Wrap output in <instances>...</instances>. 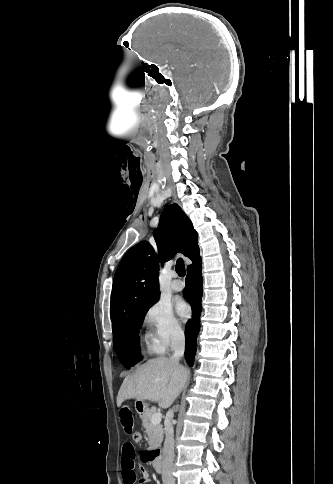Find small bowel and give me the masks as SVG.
Segmentation results:
<instances>
[{"label":"small bowel","instance_id":"obj_1","mask_svg":"<svg viewBox=\"0 0 333 484\" xmlns=\"http://www.w3.org/2000/svg\"><path fill=\"white\" fill-rule=\"evenodd\" d=\"M119 422L123 431L127 435L133 434L135 422L132 410L127 405H123L119 410ZM121 470L124 484H146L150 482L148 471L144 466H139L141 478L137 480L135 472V450L131 442H125L122 448Z\"/></svg>","mask_w":333,"mask_h":484}]
</instances>
